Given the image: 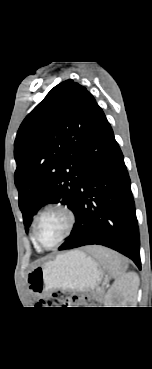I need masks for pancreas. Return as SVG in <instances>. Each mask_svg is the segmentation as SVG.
Masks as SVG:
<instances>
[{"instance_id": "obj_1", "label": "pancreas", "mask_w": 152, "mask_h": 369, "mask_svg": "<svg viewBox=\"0 0 152 369\" xmlns=\"http://www.w3.org/2000/svg\"><path fill=\"white\" fill-rule=\"evenodd\" d=\"M100 292L99 291H97V292H95L94 294H93V297H94V299H99L100 297Z\"/></svg>"}]
</instances>
